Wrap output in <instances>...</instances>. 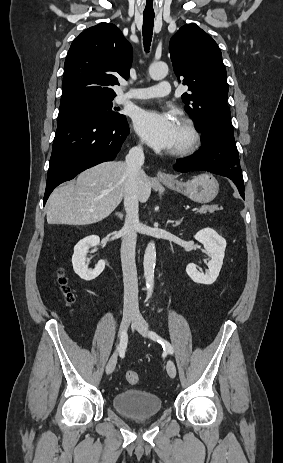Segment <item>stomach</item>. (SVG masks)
Returning <instances> with one entry per match:
<instances>
[{
	"instance_id": "stomach-1",
	"label": "stomach",
	"mask_w": 283,
	"mask_h": 463,
	"mask_svg": "<svg viewBox=\"0 0 283 463\" xmlns=\"http://www.w3.org/2000/svg\"><path fill=\"white\" fill-rule=\"evenodd\" d=\"M169 189L181 193L198 203L212 201L219 191V183L211 174H200L186 182L175 180L171 183L163 182Z\"/></svg>"
}]
</instances>
